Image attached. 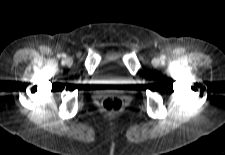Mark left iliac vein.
Instances as JSON below:
<instances>
[{
  "label": "left iliac vein",
  "instance_id": "1",
  "mask_svg": "<svg viewBox=\"0 0 225 155\" xmlns=\"http://www.w3.org/2000/svg\"><path fill=\"white\" fill-rule=\"evenodd\" d=\"M160 63V60L158 59V58H155L154 60H153V64L154 65H158Z\"/></svg>",
  "mask_w": 225,
  "mask_h": 155
}]
</instances>
